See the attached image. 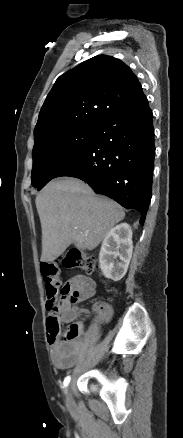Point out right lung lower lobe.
<instances>
[{"instance_id": "98d812e1", "label": "right lung lower lobe", "mask_w": 183, "mask_h": 438, "mask_svg": "<svg viewBox=\"0 0 183 438\" xmlns=\"http://www.w3.org/2000/svg\"><path fill=\"white\" fill-rule=\"evenodd\" d=\"M145 97L103 120L88 146L54 178L76 177L127 209L141 213L143 224L152 196L154 128Z\"/></svg>"}]
</instances>
